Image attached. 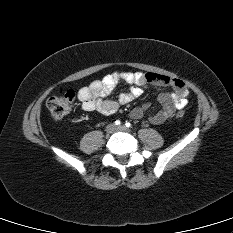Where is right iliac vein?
I'll return each instance as SVG.
<instances>
[{
  "mask_svg": "<svg viewBox=\"0 0 233 233\" xmlns=\"http://www.w3.org/2000/svg\"><path fill=\"white\" fill-rule=\"evenodd\" d=\"M115 130V127L113 124H109L107 127H106V132L107 134H112Z\"/></svg>",
  "mask_w": 233,
  "mask_h": 233,
  "instance_id": "63e3f726",
  "label": "right iliac vein"
}]
</instances>
